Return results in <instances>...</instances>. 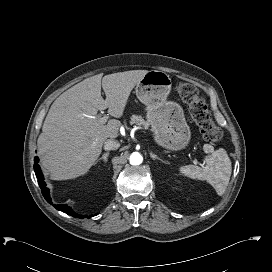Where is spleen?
Returning <instances> with one entry per match:
<instances>
[{
	"label": "spleen",
	"mask_w": 272,
	"mask_h": 272,
	"mask_svg": "<svg viewBox=\"0 0 272 272\" xmlns=\"http://www.w3.org/2000/svg\"><path fill=\"white\" fill-rule=\"evenodd\" d=\"M208 168H200L195 165H185L180 167L181 174L198 180H206L216 190L218 195H222L229 183L232 166L231 161L224 149L216 150L205 158Z\"/></svg>",
	"instance_id": "spleen-1"
}]
</instances>
